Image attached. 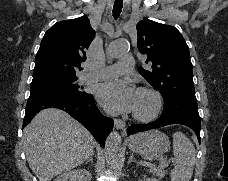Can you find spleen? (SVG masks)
I'll return each instance as SVG.
<instances>
[{"mask_svg": "<svg viewBox=\"0 0 228 181\" xmlns=\"http://www.w3.org/2000/svg\"><path fill=\"white\" fill-rule=\"evenodd\" d=\"M173 155L175 167L170 173L171 181H190L195 165V149L190 139L179 131L173 135Z\"/></svg>", "mask_w": 228, "mask_h": 181, "instance_id": "1", "label": "spleen"}]
</instances>
